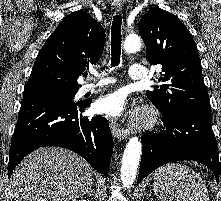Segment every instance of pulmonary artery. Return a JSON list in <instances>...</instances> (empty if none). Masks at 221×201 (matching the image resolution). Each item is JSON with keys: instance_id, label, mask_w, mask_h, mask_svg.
Wrapping results in <instances>:
<instances>
[{"instance_id": "e3ab8cb5", "label": "pulmonary artery", "mask_w": 221, "mask_h": 201, "mask_svg": "<svg viewBox=\"0 0 221 201\" xmlns=\"http://www.w3.org/2000/svg\"><path fill=\"white\" fill-rule=\"evenodd\" d=\"M129 76L132 80H143L147 78L148 76V71L147 69L141 65V64H133L130 67L129 70ZM113 82L112 80L108 78H102L98 83H92V84H86L82 87V93H87L91 90H94L98 87L107 85L109 83Z\"/></svg>"}]
</instances>
